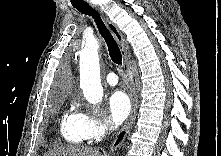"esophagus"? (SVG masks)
<instances>
[{"mask_svg": "<svg viewBox=\"0 0 221 156\" xmlns=\"http://www.w3.org/2000/svg\"><path fill=\"white\" fill-rule=\"evenodd\" d=\"M86 1H88L89 5L93 9H95L97 11H100L102 13V11L98 7H96L95 5L90 3L89 0H86ZM105 21H106V24H107L109 30L111 31L112 35L114 36L116 42L118 43V45L120 47L122 57H123V62H124V70H125L126 74L128 76H130L128 53H127V47H126L125 39H124L121 31L118 29V27L112 21H110L107 17H105ZM137 107H138L137 95H136V91L133 89L132 90V112H131L130 120H129L128 124L116 136L114 141L111 143L110 151L116 150L122 144V142L124 141L127 133L129 132L130 128L132 127V124L134 123V121L136 119Z\"/></svg>", "mask_w": 221, "mask_h": 156, "instance_id": "1", "label": "esophagus"}]
</instances>
